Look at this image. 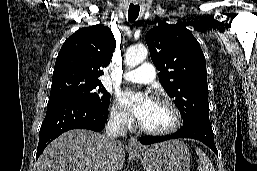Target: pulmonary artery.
Masks as SVG:
<instances>
[{
	"label": "pulmonary artery",
	"instance_id": "obj_1",
	"mask_svg": "<svg viewBox=\"0 0 257 171\" xmlns=\"http://www.w3.org/2000/svg\"><path fill=\"white\" fill-rule=\"evenodd\" d=\"M156 77L155 67L148 62L142 63L138 68L127 72L124 79L132 83L148 84Z\"/></svg>",
	"mask_w": 257,
	"mask_h": 171
}]
</instances>
